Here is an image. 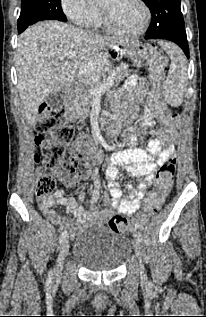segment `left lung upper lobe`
Segmentation results:
<instances>
[{"label":"left lung upper lobe","mask_w":206,"mask_h":317,"mask_svg":"<svg viewBox=\"0 0 206 317\" xmlns=\"http://www.w3.org/2000/svg\"><path fill=\"white\" fill-rule=\"evenodd\" d=\"M150 9L152 22L146 36L186 34L180 0H142Z\"/></svg>","instance_id":"left-lung-upper-lobe-1"}]
</instances>
